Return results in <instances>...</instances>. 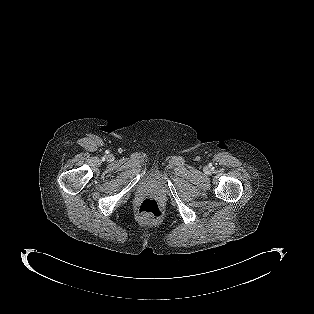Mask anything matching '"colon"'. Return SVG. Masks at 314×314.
<instances>
[{
  "label": "colon",
  "mask_w": 314,
  "mask_h": 314,
  "mask_svg": "<svg viewBox=\"0 0 314 314\" xmlns=\"http://www.w3.org/2000/svg\"><path fill=\"white\" fill-rule=\"evenodd\" d=\"M137 214L143 218L158 219L162 217L163 211L154 199H145L137 207Z\"/></svg>",
  "instance_id": "1"
}]
</instances>
